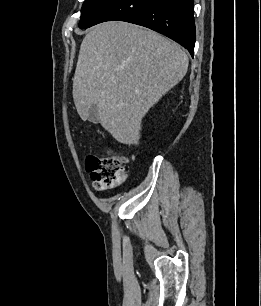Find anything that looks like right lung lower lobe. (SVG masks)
Instances as JSON below:
<instances>
[{
  "mask_svg": "<svg viewBox=\"0 0 261 306\" xmlns=\"http://www.w3.org/2000/svg\"><path fill=\"white\" fill-rule=\"evenodd\" d=\"M194 0H114L87 27L105 21H125L157 31L194 54Z\"/></svg>",
  "mask_w": 261,
  "mask_h": 306,
  "instance_id": "right-lung-lower-lobe-1",
  "label": "right lung lower lobe"
}]
</instances>
